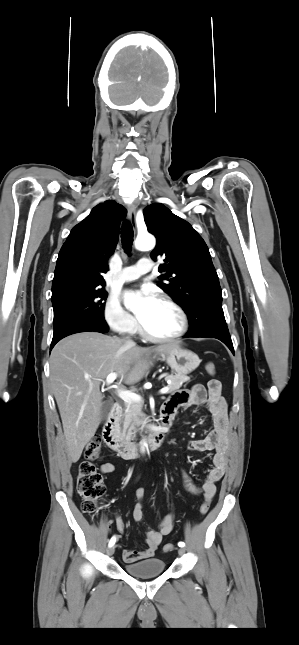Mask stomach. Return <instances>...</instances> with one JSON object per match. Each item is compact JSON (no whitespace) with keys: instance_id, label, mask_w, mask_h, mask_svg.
I'll use <instances>...</instances> for the list:
<instances>
[{"instance_id":"obj_1","label":"stomach","mask_w":299,"mask_h":645,"mask_svg":"<svg viewBox=\"0 0 299 645\" xmlns=\"http://www.w3.org/2000/svg\"><path fill=\"white\" fill-rule=\"evenodd\" d=\"M162 359L174 370L177 374L187 375L193 372L200 364V359L194 352L177 348L171 352L162 354Z\"/></svg>"}]
</instances>
